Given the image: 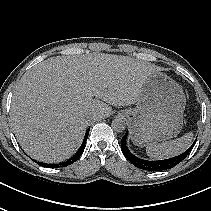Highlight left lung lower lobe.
<instances>
[{"mask_svg":"<svg viewBox=\"0 0 211 211\" xmlns=\"http://www.w3.org/2000/svg\"><path fill=\"white\" fill-rule=\"evenodd\" d=\"M128 131L125 133V135L121 139V149L124 154V156L137 168L148 170V171H162L167 170L170 168H173L177 164H179L182 160H184L191 149L194 147L195 142L191 145L189 149H187L184 153L165 160H158V161H148L140 159L136 156H134L127 148L126 146V138H127Z\"/></svg>","mask_w":211,"mask_h":211,"instance_id":"obj_1","label":"left lung lower lobe"}]
</instances>
